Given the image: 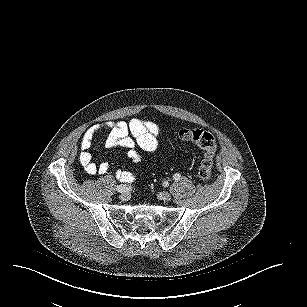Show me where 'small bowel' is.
<instances>
[{
	"instance_id": "1",
	"label": "small bowel",
	"mask_w": 307,
	"mask_h": 307,
	"mask_svg": "<svg viewBox=\"0 0 307 307\" xmlns=\"http://www.w3.org/2000/svg\"><path fill=\"white\" fill-rule=\"evenodd\" d=\"M101 131L107 132L105 144L108 148L125 149L128 157L134 163H140L142 159L136 150L137 146L148 153H153L158 149L160 130L154 122L132 118L127 122L107 121L93 125L83 133L80 140L79 162L89 175H104L109 171V164L94 162L91 153L94 137ZM115 176L122 183H131L136 179L134 172L122 169L116 170Z\"/></svg>"
}]
</instances>
